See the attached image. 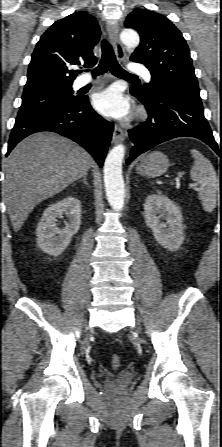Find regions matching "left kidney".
Here are the masks:
<instances>
[{
  "instance_id": "1",
  "label": "left kidney",
  "mask_w": 222,
  "mask_h": 447,
  "mask_svg": "<svg viewBox=\"0 0 222 447\" xmlns=\"http://www.w3.org/2000/svg\"><path fill=\"white\" fill-rule=\"evenodd\" d=\"M144 218L161 246L170 251L180 248L184 241L183 218L181 210L172 200L161 194L149 195L144 203Z\"/></svg>"
}]
</instances>
